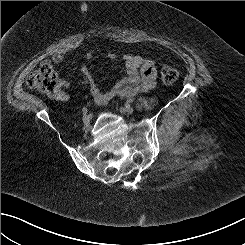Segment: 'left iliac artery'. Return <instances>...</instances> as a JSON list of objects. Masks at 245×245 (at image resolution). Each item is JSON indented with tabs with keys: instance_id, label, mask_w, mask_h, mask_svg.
Masks as SVG:
<instances>
[{
	"instance_id": "1",
	"label": "left iliac artery",
	"mask_w": 245,
	"mask_h": 245,
	"mask_svg": "<svg viewBox=\"0 0 245 245\" xmlns=\"http://www.w3.org/2000/svg\"><path fill=\"white\" fill-rule=\"evenodd\" d=\"M127 104H132V103H134V99H132V98H129V99H127Z\"/></svg>"
}]
</instances>
